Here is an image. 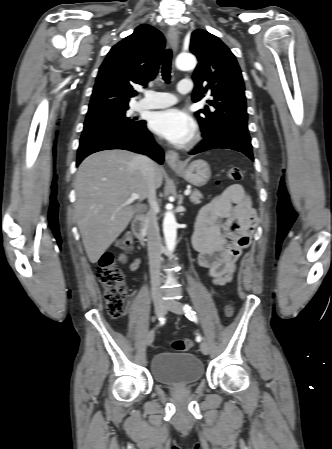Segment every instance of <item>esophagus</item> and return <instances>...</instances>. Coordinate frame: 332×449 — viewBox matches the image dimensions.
Returning a JSON list of instances; mask_svg holds the SVG:
<instances>
[{"instance_id": "1", "label": "esophagus", "mask_w": 332, "mask_h": 449, "mask_svg": "<svg viewBox=\"0 0 332 449\" xmlns=\"http://www.w3.org/2000/svg\"><path fill=\"white\" fill-rule=\"evenodd\" d=\"M167 38L170 46L174 51L177 50L178 43H179V35L178 31L175 28H170L167 33ZM167 164L172 168L181 167L182 163L179 159V155L174 150H167L166 156H165Z\"/></svg>"}]
</instances>
